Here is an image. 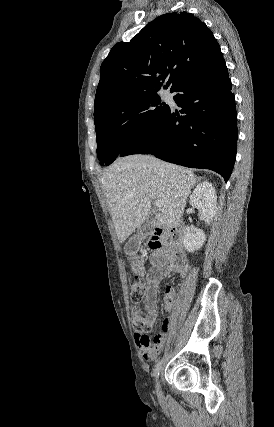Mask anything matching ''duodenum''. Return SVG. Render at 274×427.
I'll return each instance as SVG.
<instances>
[{
    "label": "duodenum",
    "mask_w": 274,
    "mask_h": 427,
    "mask_svg": "<svg viewBox=\"0 0 274 427\" xmlns=\"http://www.w3.org/2000/svg\"><path fill=\"white\" fill-rule=\"evenodd\" d=\"M170 234L169 232L160 226H155L152 235L153 245L156 248H162L165 246L169 240Z\"/></svg>",
    "instance_id": "duodenum-1"
}]
</instances>
